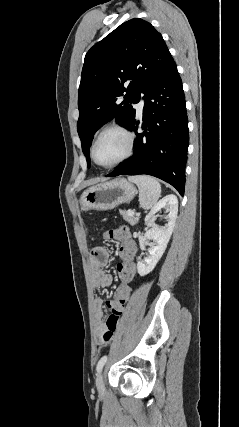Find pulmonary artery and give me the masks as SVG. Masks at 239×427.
Masks as SVG:
<instances>
[{"mask_svg":"<svg viewBox=\"0 0 239 427\" xmlns=\"http://www.w3.org/2000/svg\"><path fill=\"white\" fill-rule=\"evenodd\" d=\"M143 107H144V100L142 99V100L137 104V109H138V111H139V112H141V111H142V109H143Z\"/></svg>","mask_w":239,"mask_h":427,"instance_id":"pulmonary-artery-1","label":"pulmonary artery"}]
</instances>
